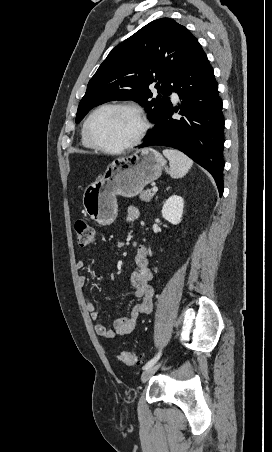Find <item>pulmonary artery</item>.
Returning <instances> with one entry per match:
<instances>
[{
  "label": "pulmonary artery",
  "instance_id": "1",
  "mask_svg": "<svg viewBox=\"0 0 272 452\" xmlns=\"http://www.w3.org/2000/svg\"><path fill=\"white\" fill-rule=\"evenodd\" d=\"M173 98L176 100L177 99V94L173 93Z\"/></svg>",
  "mask_w": 272,
  "mask_h": 452
}]
</instances>
